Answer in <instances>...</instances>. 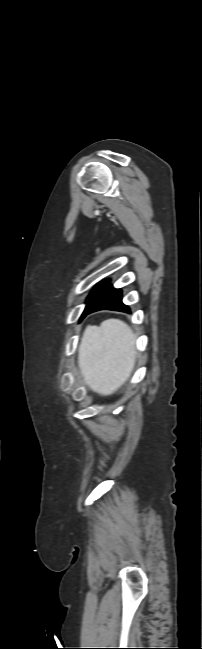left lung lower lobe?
Masks as SVG:
<instances>
[{"label": "left lung lower lobe", "mask_w": 202, "mask_h": 649, "mask_svg": "<svg viewBox=\"0 0 202 649\" xmlns=\"http://www.w3.org/2000/svg\"><path fill=\"white\" fill-rule=\"evenodd\" d=\"M105 309L130 313L129 307L122 303L121 290L114 289L110 284H108L104 291L87 308H85L81 319L90 313Z\"/></svg>", "instance_id": "1"}]
</instances>
